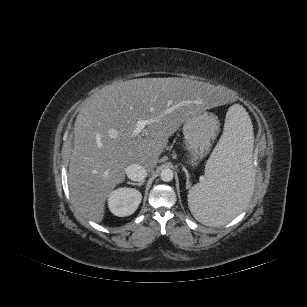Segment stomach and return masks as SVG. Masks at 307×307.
I'll use <instances>...</instances> for the list:
<instances>
[{
    "instance_id": "obj_1",
    "label": "stomach",
    "mask_w": 307,
    "mask_h": 307,
    "mask_svg": "<svg viewBox=\"0 0 307 307\" xmlns=\"http://www.w3.org/2000/svg\"><path fill=\"white\" fill-rule=\"evenodd\" d=\"M218 129L217 117L205 111L193 113L185 120L182 131L192 166L206 156Z\"/></svg>"
}]
</instances>
